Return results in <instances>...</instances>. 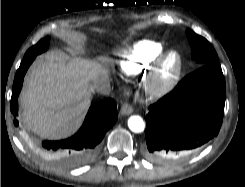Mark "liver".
<instances>
[{
	"label": "liver",
	"instance_id": "liver-1",
	"mask_svg": "<svg viewBox=\"0 0 245 187\" xmlns=\"http://www.w3.org/2000/svg\"><path fill=\"white\" fill-rule=\"evenodd\" d=\"M97 60L71 58L64 53L34 62L20 96L21 122L41 137L62 138L73 133L90 106L92 86L108 80V70Z\"/></svg>",
	"mask_w": 245,
	"mask_h": 187
}]
</instances>
